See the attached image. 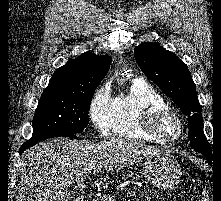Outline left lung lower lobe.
<instances>
[{
    "label": "left lung lower lobe",
    "instance_id": "1",
    "mask_svg": "<svg viewBox=\"0 0 221 201\" xmlns=\"http://www.w3.org/2000/svg\"><path fill=\"white\" fill-rule=\"evenodd\" d=\"M205 157L207 158L208 162H209L210 164H212V157H211V156H205Z\"/></svg>",
    "mask_w": 221,
    "mask_h": 201
}]
</instances>
